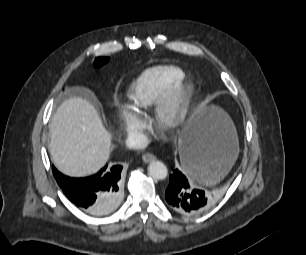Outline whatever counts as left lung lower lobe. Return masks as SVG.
Segmentation results:
<instances>
[{
  "mask_svg": "<svg viewBox=\"0 0 306 255\" xmlns=\"http://www.w3.org/2000/svg\"><path fill=\"white\" fill-rule=\"evenodd\" d=\"M182 172L174 170L169 177L165 198L170 208L185 216L198 215L214 202L213 196L201 189L192 188L188 178L192 174L210 175L213 173L215 158L195 145H189L183 155Z\"/></svg>",
  "mask_w": 306,
  "mask_h": 255,
  "instance_id": "obj_1",
  "label": "left lung lower lobe"
}]
</instances>
